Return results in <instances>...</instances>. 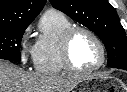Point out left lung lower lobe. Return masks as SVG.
I'll list each match as a JSON object with an SVG mask.
<instances>
[{
    "instance_id": "1",
    "label": "left lung lower lobe",
    "mask_w": 127,
    "mask_h": 92,
    "mask_svg": "<svg viewBox=\"0 0 127 92\" xmlns=\"http://www.w3.org/2000/svg\"><path fill=\"white\" fill-rule=\"evenodd\" d=\"M114 68L127 70V64H123V65H120V66L114 67Z\"/></svg>"
}]
</instances>
